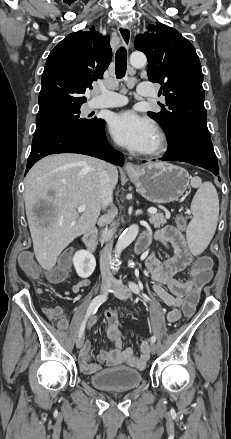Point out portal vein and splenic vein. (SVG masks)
<instances>
[{
    "instance_id": "portal-vein-and-splenic-vein-1",
    "label": "portal vein and splenic vein",
    "mask_w": 231,
    "mask_h": 439,
    "mask_svg": "<svg viewBox=\"0 0 231 439\" xmlns=\"http://www.w3.org/2000/svg\"><path fill=\"white\" fill-rule=\"evenodd\" d=\"M77 210H78L79 213L84 212L86 210V205H84V204L79 205ZM148 213L151 214V215L152 214H156L157 213V209L156 208H149L148 209Z\"/></svg>"
}]
</instances>
